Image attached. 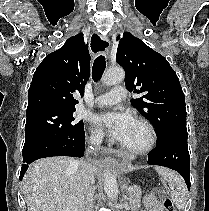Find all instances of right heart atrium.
Here are the masks:
<instances>
[{"label": "right heart atrium", "mask_w": 209, "mask_h": 211, "mask_svg": "<svg viewBox=\"0 0 209 211\" xmlns=\"http://www.w3.org/2000/svg\"><path fill=\"white\" fill-rule=\"evenodd\" d=\"M102 140H103V135L100 132L95 131V130L91 131L90 136H89V141L92 144H99L102 142Z\"/></svg>", "instance_id": "obj_1"}]
</instances>
